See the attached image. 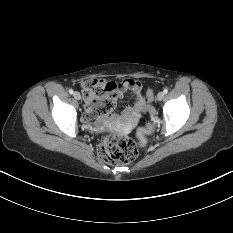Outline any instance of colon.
I'll use <instances>...</instances> for the list:
<instances>
[{"label": "colon", "mask_w": 233, "mask_h": 233, "mask_svg": "<svg viewBox=\"0 0 233 233\" xmlns=\"http://www.w3.org/2000/svg\"><path fill=\"white\" fill-rule=\"evenodd\" d=\"M116 83L100 79H90L84 82L83 92L87 100H98L99 105L95 108L96 116H105L112 112L115 107ZM152 97V91L148 90L146 99ZM153 130L152 124L141 128L138 132L139 143L143 144L146 136ZM99 156L110 164H127L132 162L138 155L135 141L128 137L106 135L98 146Z\"/></svg>", "instance_id": "1"}]
</instances>
